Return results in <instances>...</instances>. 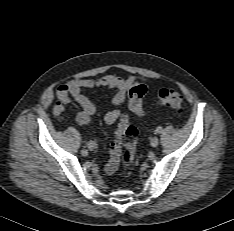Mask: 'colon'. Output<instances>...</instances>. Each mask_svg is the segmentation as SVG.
I'll return each mask as SVG.
<instances>
[{"label":"colon","instance_id":"1","mask_svg":"<svg viewBox=\"0 0 234 231\" xmlns=\"http://www.w3.org/2000/svg\"><path fill=\"white\" fill-rule=\"evenodd\" d=\"M147 92V87L143 83L132 86L128 94V104L130 110L137 116L143 117V100ZM155 103L158 106L180 109L183 104L181 94L175 90L164 88L161 89L156 97ZM137 130L128 123L126 117L123 118L121 124L115 133V139L111 145L110 155L113 163L120 165L123 170H129L136 158L137 154ZM123 148V151L121 150Z\"/></svg>","mask_w":234,"mask_h":231}]
</instances>
